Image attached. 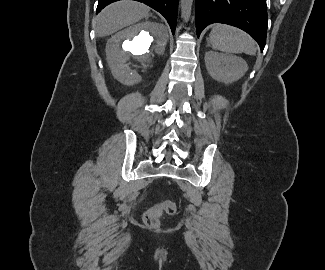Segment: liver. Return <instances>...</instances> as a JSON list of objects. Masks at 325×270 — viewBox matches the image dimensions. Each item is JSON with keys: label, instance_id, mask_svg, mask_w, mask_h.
Returning <instances> with one entry per match:
<instances>
[{"label": "liver", "instance_id": "6515ba94", "mask_svg": "<svg viewBox=\"0 0 325 270\" xmlns=\"http://www.w3.org/2000/svg\"><path fill=\"white\" fill-rule=\"evenodd\" d=\"M149 11L148 6L136 1L124 0L112 3L96 17V34L98 37L112 35L148 16Z\"/></svg>", "mask_w": 325, "mask_h": 270}]
</instances>
